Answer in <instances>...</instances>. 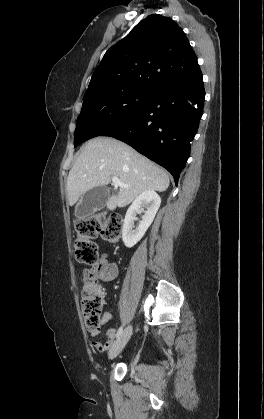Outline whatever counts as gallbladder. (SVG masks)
I'll return each mask as SVG.
<instances>
[{
    "mask_svg": "<svg viewBox=\"0 0 264 419\" xmlns=\"http://www.w3.org/2000/svg\"><path fill=\"white\" fill-rule=\"evenodd\" d=\"M110 197V191L106 186H98L88 190L81 197L75 208L78 218H85L102 209Z\"/></svg>",
    "mask_w": 264,
    "mask_h": 419,
    "instance_id": "gallbladder-1",
    "label": "gallbladder"
}]
</instances>
